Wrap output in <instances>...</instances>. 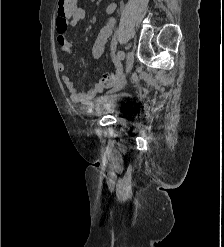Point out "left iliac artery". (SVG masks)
<instances>
[{
    "label": "left iliac artery",
    "instance_id": "obj_1",
    "mask_svg": "<svg viewBox=\"0 0 224 247\" xmlns=\"http://www.w3.org/2000/svg\"><path fill=\"white\" fill-rule=\"evenodd\" d=\"M118 57L120 60H123L125 58V54L123 51H118Z\"/></svg>",
    "mask_w": 224,
    "mask_h": 247
}]
</instances>
